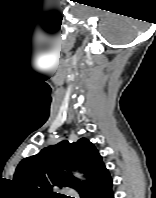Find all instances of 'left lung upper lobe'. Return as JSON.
Listing matches in <instances>:
<instances>
[{"mask_svg": "<svg viewBox=\"0 0 156 198\" xmlns=\"http://www.w3.org/2000/svg\"><path fill=\"white\" fill-rule=\"evenodd\" d=\"M82 171L87 183L80 182L63 169ZM102 157L86 138L76 143L64 140L42 149L38 154L24 158L14 174V181L28 197L60 198L58 187H71L77 192L85 190L106 171Z\"/></svg>", "mask_w": 156, "mask_h": 198, "instance_id": "left-lung-upper-lobe-1", "label": "left lung upper lobe"}]
</instances>
